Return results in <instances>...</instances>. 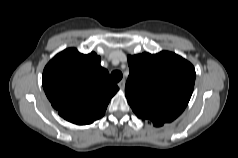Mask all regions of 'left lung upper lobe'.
<instances>
[{
	"label": "left lung upper lobe",
	"instance_id": "1",
	"mask_svg": "<svg viewBox=\"0 0 238 158\" xmlns=\"http://www.w3.org/2000/svg\"><path fill=\"white\" fill-rule=\"evenodd\" d=\"M130 75L125 92L140 119L166 123L187 106L194 88L193 65L175 53H142L128 57Z\"/></svg>",
	"mask_w": 238,
	"mask_h": 158
}]
</instances>
